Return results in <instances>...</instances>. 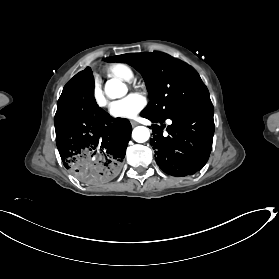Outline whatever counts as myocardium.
I'll use <instances>...</instances> for the list:
<instances>
[{"instance_id": "myocardium-1", "label": "myocardium", "mask_w": 279, "mask_h": 279, "mask_svg": "<svg viewBox=\"0 0 279 279\" xmlns=\"http://www.w3.org/2000/svg\"><path fill=\"white\" fill-rule=\"evenodd\" d=\"M131 82H129V84H130ZM127 87L129 88V85H127Z\"/></svg>"}]
</instances>
